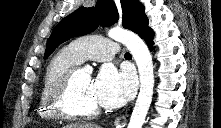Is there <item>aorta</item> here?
<instances>
[{"instance_id":"obj_1","label":"aorta","mask_w":221,"mask_h":128,"mask_svg":"<svg viewBox=\"0 0 221 128\" xmlns=\"http://www.w3.org/2000/svg\"><path fill=\"white\" fill-rule=\"evenodd\" d=\"M108 36L124 44L132 54L138 67L140 77V92L136 100L128 128H142L147 112L149 110L154 87V74L152 56L143 40L135 33L122 29L113 28L109 30ZM86 71L92 68L85 66Z\"/></svg>"}]
</instances>
